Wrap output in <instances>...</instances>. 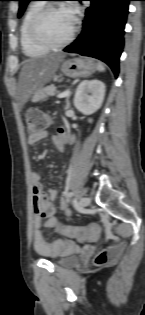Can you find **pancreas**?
I'll use <instances>...</instances> for the list:
<instances>
[{
  "label": "pancreas",
  "mask_w": 145,
  "mask_h": 315,
  "mask_svg": "<svg viewBox=\"0 0 145 315\" xmlns=\"http://www.w3.org/2000/svg\"><path fill=\"white\" fill-rule=\"evenodd\" d=\"M56 89L57 88L54 85H50V86L44 88L42 90V99H46L50 96H54L57 93Z\"/></svg>",
  "instance_id": "cf45deb5"
}]
</instances>
